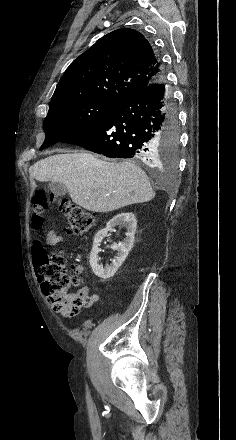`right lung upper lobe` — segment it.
<instances>
[{
  "mask_svg": "<svg viewBox=\"0 0 236 440\" xmlns=\"http://www.w3.org/2000/svg\"><path fill=\"white\" fill-rule=\"evenodd\" d=\"M148 40L130 28L100 38L66 69L50 103L94 99L121 104L163 76Z\"/></svg>",
  "mask_w": 236,
  "mask_h": 440,
  "instance_id": "obj_1",
  "label": "right lung upper lobe"
}]
</instances>
